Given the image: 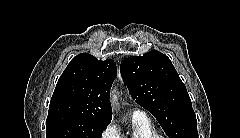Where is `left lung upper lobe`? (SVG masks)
I'll list each match as a JSON object with an SVG mask.
<instances>
[{
	"label": "left lung upper lobe",
	"instance_id": "obj_1",
	"mask_svg": "<svg viewBox=\"0 0 240 138\" xmlns=\"http://www.w3.org/2000/svg\"><path fill=\"white\" fill-rule=\"evenodd\" d=\"M120 70L131 97L154 115L169 138H198L187 89L166 55L152 50L129 57Z\"/></svg>",
	"mask_w": 240,
	"mask_h": 138
}]
</instances>
